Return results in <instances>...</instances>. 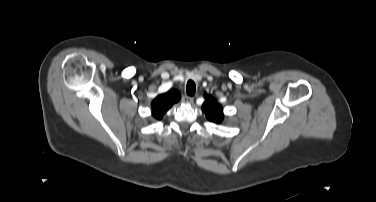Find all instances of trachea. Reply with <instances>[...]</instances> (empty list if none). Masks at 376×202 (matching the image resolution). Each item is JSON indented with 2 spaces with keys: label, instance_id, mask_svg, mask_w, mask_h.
Returning <instances> with one entry per match:
<instances>
[{
  "label": "trachea",
  "instance_id": "trachea-1",
  "mask_svg": "<svg viewBox=\"0 0 376 202\" xmlns=\"http://www.w3.org/2000/svg\"><path fill=\"white\" fill-rule=\"evenodd\" d=\"M195 91H196L195 83L192 80H189L186 86L187 95L193 96L195 94Z\"/></svg>",
  "mask_w": 376,
  "mask_h": 202
}]
</instances>
